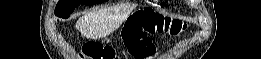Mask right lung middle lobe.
<instances>
[{"instance_id":"right-lung-middle-lobe-1","label":"right lung middle lobe","mask_w":261,"mask_h":59,"mask_svg":"<svg viewBox=\"0 0 261 59\" xmlns=\"http://www.w3.org/2000/svg\"><path fill=\"white\" fill-rule=\"evenodd\" d=\"M105 0H60L55 8V15L62 18L69 17L75 7L103 3Z\"/></svg>"}]
</instances>
